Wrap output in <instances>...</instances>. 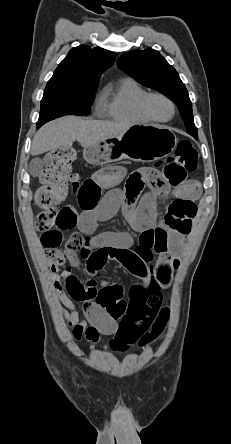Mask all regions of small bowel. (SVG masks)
Returning <instances> with one entry per match:
<instances>
[{
	"label": "small bowel",
	"instance_id": "obj_1",
	"mask_svg": "<svg viewBox=\"0 0 231 444\" xmlns=\"http://www.w3.org/2000/svg\"><path fill=\"white\" fill-rule=\"evenodd\" d=\"M123 189L118 185L125 180ZM145 186L150 191L139 200ZM103 190H108L102 195ZM169 193L168 185L157 171L149 174L135 171L127 174L122 166L110 165L99 169L86 179L77 190V201L81 209L75 215L74 232L67 240V250L82 251L86 260L84 274V296L82 312H79L64 291V258L57 250L62 234L44 233L42 241L48 248L45 264L49 267L52 285L60 300L63 316L67 320L75 339L85 337L96 343L102 335L114 334L119 320L126 312L128 301L119 285L98 288L95 275L108 261H115L139 280L132 289L131 296L145 293L153 284L167 288L178 265L185 235L169 228V210L160 227H154L156 219V199ZM176 201L193 202L200 195V185L189 181L186 186L175 191ZM170 209V208H169ZM121 211L133 230L140 233L139 245L132 248V237L123 231H97L98 224ZM160 229L161 233H157Z\"/></svg>",
	"mask_w": 231,
	"mask_h": 444
}]
</instances>
